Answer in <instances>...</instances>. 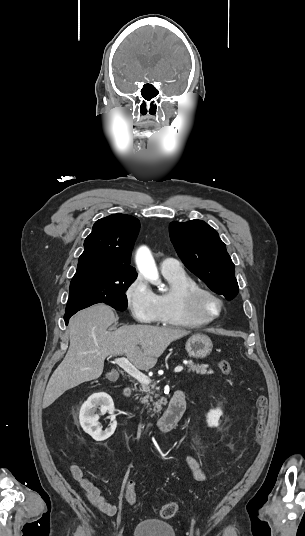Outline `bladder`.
<instances>
[{
	"mask_svg": "<svg viewBox=\"0 0 305 536\" xmlns=\"http://www.w3.org/2000/svg\"><path fill=\"white\" fill-rule=\"evenodd\" d=\"M175 536L172 522L159 518H143L132 529V536Z\"/></svg>",
	"mask_w": 305,
	"mask_h": 536,
	"instance_id": "31cf9c89",
	"label": "bladder"
}]
</instances>
